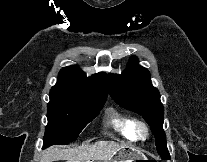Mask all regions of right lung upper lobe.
<instances>
[{"label":"right lung upper lobe","instance_id":"right-lung-upper-lobe-1","mask_svg":"<svg viewBox=\"0 0 207 162\" xmlns=\"http://www.w3.org/2000/svg\"><path fill=\"white\" fill-rule=\"evenodd\" d=\"M50 93L83 98H107V76L105 73H99L87 78L78 67H65L59 72L57 83Z\"/></svg>","mask_w":207,"mask_h":162}]
</instances>
